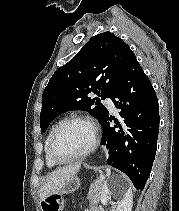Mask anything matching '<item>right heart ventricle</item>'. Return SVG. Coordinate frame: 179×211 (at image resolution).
Listing matches in <instances>:
<instances>
[{
    "mask_svg": "<svg viewBox=\"0 0 179 211\" xmlns=\"http://www.w3.org/2000/svg\"><path fill=\"white\" fill-rule=\"evenodd\" d=\"M58 123H55L51 126L48 134H47V137L45 139V145H44V153H45V162H46V165L49 167V168H54L57 164L51 159L50 155H49V142H50V138L52 136V133L54 131V129L56 128Z\"/></svg>",
    "mask_w": 179,
    "mask_h": 211,
    "instance_id": "right-heart-ventricle-1",
    "label": "right heart ventricle"
}]
</instances>
